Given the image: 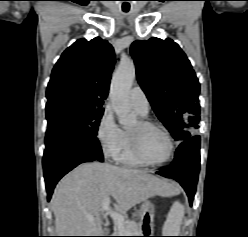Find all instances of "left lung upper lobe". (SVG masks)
<instances>
[{
    "mask_svg": "<svg viewBox=\"0 0 248 237\" xmlns=\"http://www.w3.org/2000/svg\"><path fill=\"white\" fill-rule=\"evenodd\" d=\"M131 54L137 79L154 112L176 140L191 138L188 130L200 120L198 78L190 61L173 40L135 41Z\"/></svg>",
    "mask_w": 248,
    "mask_h": 237,
    "instance_id": "obj_1",
    "label": "left lung upper lobe"
}]
</instances>
